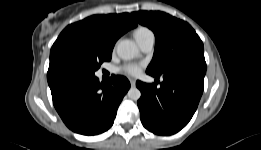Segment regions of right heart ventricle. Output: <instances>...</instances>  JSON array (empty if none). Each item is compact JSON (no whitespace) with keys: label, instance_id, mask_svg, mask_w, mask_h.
Instances as JSON below:
<instances>
[{"label":"right heart ventricle","instance_id":"1","mask_svg":"<svg viewBox=\"0 0 261 150\" xmlns=\"http://www.w3.org/2000/svg\"><path fill=\"white\" fill-rule=\"evenodd\" d=\"M148 31H150V30L148 28H146V27H139V28H137L135 30L134 36L137 39V38H139L140 36H142L144 33L148 32Z\"/></svg>","mask_w":261,"mask_h":150}]
</instances>
